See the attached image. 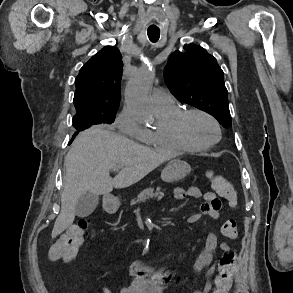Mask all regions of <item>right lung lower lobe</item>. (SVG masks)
<instances>
[{
    "label": "right lung lower lobe",
    "mask_w": 293,
    "mask_h": 293,
    "mask_svg": "<svg viewBox=\"0 0 293 293\" xmlns=\"http://www.w3.org/2000/svg\"><path fill=\"white\" fill-rule=\"evenodd\" d=\"M79 133V131H76L71 139V141L69 142V144H71V142L73 141V139L75 138V136Z\"/></svg>",
    "instance_id": "obj_1"
}]
</instances>
